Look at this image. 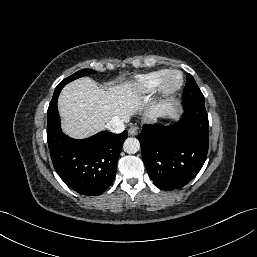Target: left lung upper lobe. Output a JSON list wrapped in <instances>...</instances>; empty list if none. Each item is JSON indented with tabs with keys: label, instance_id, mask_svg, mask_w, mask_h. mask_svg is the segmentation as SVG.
Masks as SVG:
<instances>
[{
	"label": "left lung upper lobe",
	"instance_id": "left-lung-upper-lobe-1",
	"mask_svg": "<svg viewBox=\"0 0 257 257\" xmlns=\"http://www.w3.org/2000/svg\"><path fill=\"white\" fill-rule=\"evenodd\" d=\"M183 101L204 102V96L191 74H187V82L183 92Z\"/></svg>",
	"mask_w": 257,
	"mask_h": 257
}]
</instances>
